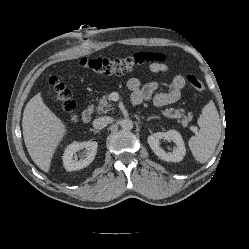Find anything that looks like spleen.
I'll use <instances>...</instances> for the list:
<instances>
[{
    "label": "spleen",
    "instance_id": "3e777b00",
    "mask_svg": "<svg viewBox=\"0 0 249 249\" xmlns=\"http://www.w3.org/2000/svg\"><path fill=\"white\" fill-rule=\"evenodd\" d=\"M199 132L189 139V147L195 159L200 163L209 160L221 137V122L213 101L202 109L198 119Z\"/></svg>",
    "mask_w": 249,
    "mask_h": 249
}]
</instances>
